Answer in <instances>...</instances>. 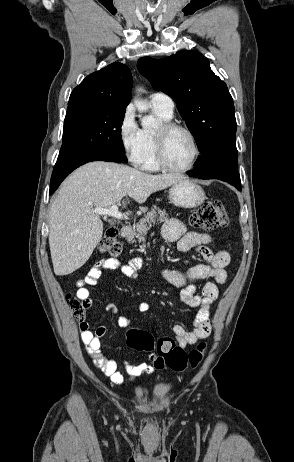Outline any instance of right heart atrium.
Wrapping results in <instances>:
<instances>
[{
	"label": "right heart atrium",
	"mask_w": 294,
	"mask_h": 462,
	"mask_svg": "<svg viewBox=\"0 0 294 462\" xmlns=\"http://www.w3.org/2000/svg\"><path fill=\"white\" fill-rule=\"evenodd\" d=\"M118 135L123 152L129 162L139 166L144 151V143L142 130L136 122L131 107H127L121 116L118 124Z\"/></svg>",
	"instance_id": "right-heart-atrium-1"
}]
</instances>
